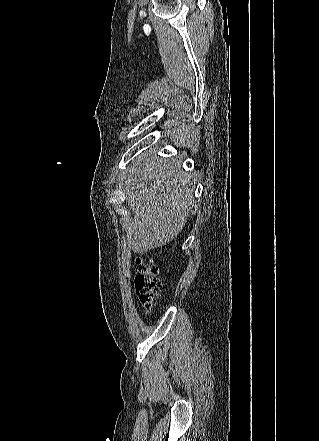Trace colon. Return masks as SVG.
Returning <instances> with one entry per match:
<instances>
[{
	"instance_id": "1",
	"label": "colon",
	"mask_w": 319,
	"mask_h": 441,
	"mask_svg": "<svg viewBox=\"0 0 319 441\" xmlns=\"http://www.w3.org/2000/svg\"><path fill=\"white\" fill-rule=\"evenodd\" d=\"M136 276L134 287L144 312L151 314L159 298L161 283L158 280V268L152 259L136 258Z\"/></svg>"
}]
</instances>
